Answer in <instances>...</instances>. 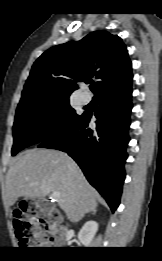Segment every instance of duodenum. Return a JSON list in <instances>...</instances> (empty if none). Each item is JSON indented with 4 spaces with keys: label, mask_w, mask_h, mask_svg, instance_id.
Returning a JSON list of instances; mask_svg holds the SVG:
<instances>
[{
    "label": "duodenum",
    "mask_w": 162,
    "mask_h": 261,
    "mask_svg": "<svg viewBox=\"0 0 162 261\" xmlns=\"http://www.w3.org/2000/svg\"><path fill=\"white\" fill-rule=\"evenodd\" d=\"M48 232L54 235L52 238V242L58 246H63L66 242L67 237L71 236V233L69 231L62 232L57 228L56 225L49 226Z\"/></svg>",
    "instance_id": "obj_1"
}]
</instances>
